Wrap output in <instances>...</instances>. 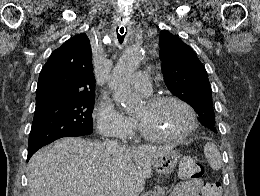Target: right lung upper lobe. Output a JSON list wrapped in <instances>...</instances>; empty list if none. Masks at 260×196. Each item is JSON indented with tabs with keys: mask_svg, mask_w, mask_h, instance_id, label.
Here are the masks:
<instances>
[{
	"mask_svg": "<svg viewBox=\"0 0 260 196\" xmlns=\"http://www.w3.org/2000/svg\"><path fill=\"white\" fill-rule=\"evenodd\" d=\"M83 93H95L91 46L85 33L53 51L39 75L36 106Z\"/></svg>",
	"mask_w": 260,
	"mask_h": 196,
	"instance_id": "right-lung-upper-lobe-1",
	"label": "right lung upper lobe"
}]
</instances>
